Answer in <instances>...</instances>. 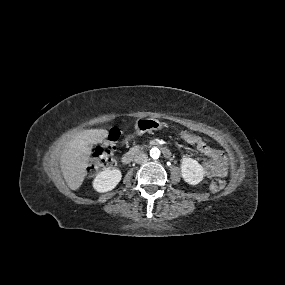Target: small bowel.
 <instances>
[{
    "mask_svg": "<svg viewBox=\"0 0 285 285\" xmlns=\"http://www.w3.org/2000/svg\"><path fill=\"white\" fill-rule=\"evenodd\" d=\"M197 150L208 158V162L204 165L208 177H225L227 175L226 158L220 151L210 147L205 142L203 147Z\"/></svg>",
    "mask_w": 285,
    "mask_h": 285,
    "instance_id": "small-bowel-1",
    "label": "small bowel"
}]
</instances>
